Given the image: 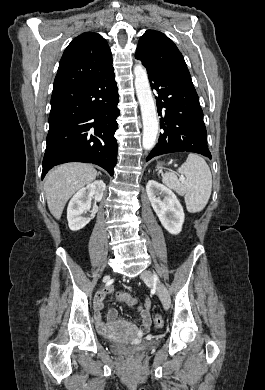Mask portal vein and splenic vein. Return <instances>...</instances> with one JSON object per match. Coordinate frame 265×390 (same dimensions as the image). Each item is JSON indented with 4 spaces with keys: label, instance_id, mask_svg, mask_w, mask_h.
Masks as SVG:
<instances>
[{
    "label": "portal vein and splenic vein",
    "instance_id": "portal-vein-and-splenic-vein-1",
    "mask_svg": "<svg viewBox=\"0 0 265 390\" xmlns=\"http://www.w3.org/2000/svg\"><path fill=\"white\" fill-rule=\"evenodd\" d=\"M184 180H185L184 176H181L180 181H184Z\"/></svg>",
    "mask_w": 265,
    "mask_h": 390
}]
</instances>
